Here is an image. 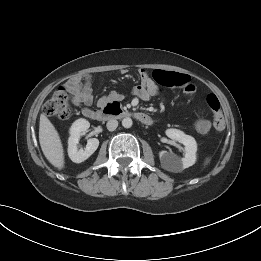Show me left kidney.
Listing matches in <instances>:
<instances>
[{
  "mask_svg": "<svg viewBox=\"0 0 261 261\" xmlns=\"http://www.w3.org/2000/svg\"><path fill=\"white\" fill-rule=\"evenodd\" d=\"M166 135L170 139L176 140L185 146V155L183 158H179L167 151L159 152V158L163 168L168 171L178 172L192 166L196 161L197 144L195 139L178 129H167Z\"/></svg>",
  "mask_w": 261,
  "mask_h": 261,
  "instance_id": "left-kidney-1",
  "label": "left kidney"
}]
</instances>
